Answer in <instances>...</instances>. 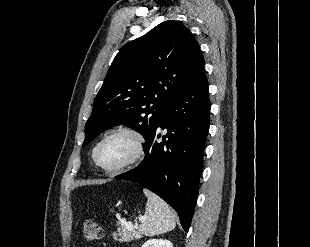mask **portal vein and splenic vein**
<instances>
[{
	"instance_id": "1",
	"label": "portal vein and splenic vein",
	"mask_w": 310,
	"mask_h": 247,
	"mask_svg": "<svg viewBox=\"0 0 310 247\" xmlns=\"http://www.w3.org/2000/svg\"><path fill=\"white\" fill-rule=\"evenodd\" d=\"M143 218H139V220H142ZM126 228L128 229V230H133L134 229V226H133V224L131 223V222H127L126 223Z\"/></svg>"
}]
</instances>
